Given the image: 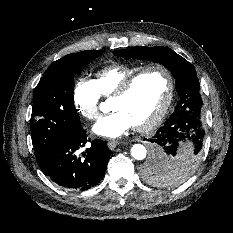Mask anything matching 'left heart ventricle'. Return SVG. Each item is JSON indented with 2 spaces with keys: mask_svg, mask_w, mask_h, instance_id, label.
Returning a JSON list of instances; mask_svg holds the SVG:
<instances>
[{
  "mask_svg": "<svg viewBox=\"0 0 233 233\" xmlns=\"http://www.w3.org/2000/svg\"><path fill=\"white\" fill-rule=\"evenodd\" d=\"M167 91V79L160 70L142 74L129 92L111 100V108L124 112L133 126L149 121L162 106Z\"/></svg>",
  "mask_w": 233,
  "mask_h": 233,
  "instance_id": "obj_1",
  "label": "left heart ventricle"
}]
</instances>
